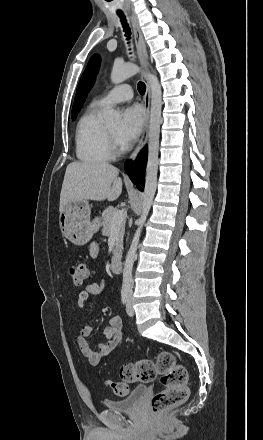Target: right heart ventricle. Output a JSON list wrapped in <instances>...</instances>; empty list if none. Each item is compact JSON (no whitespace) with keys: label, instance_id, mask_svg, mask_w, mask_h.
I'll list each match as a JSON object with an SVG mask.
<instances>
[{"label":"right heart ventricle","instance_id":"e07e8e85","mask_svg":"<svg viewBox=\"0 0 263 440\" xmlns=\"http://www.w3.org/2000/svg\"><path fill=\"white\" fill-rule=\"evenodd\" d=\"M102 107L93 103L78 121L76 155L83 162H105L112 157L106 125L101 118Z\"/></svg>","mask_w":263,"mask_h":440}]
</instances>
